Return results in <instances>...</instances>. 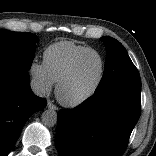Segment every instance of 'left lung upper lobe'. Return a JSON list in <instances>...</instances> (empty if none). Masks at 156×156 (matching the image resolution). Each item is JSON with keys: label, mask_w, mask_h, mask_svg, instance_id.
Listing matches in <instances>:
<instances>
[{"label": "left lung upper lobe", "mask_w": 156, "mask_h": 156, "mask_svg": "<svg viewBox=\"0 0 156 156\" xmlns=\"http://www.w3.org/2000/svg\"><path fill=\"white\" fill-rule=\"evenodd\" d=\"M106 44L107 57L104 74L95 92L113 88L126 87L141 90L139 72L123 45L111 37H102Z\"/></svg>", "instance_id": "5c2ea615"}]
</instances>
